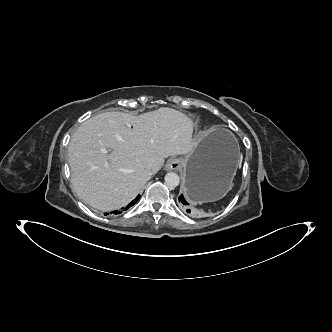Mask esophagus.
Returning a JSON list of instances; mask_svg holds the SVG:
<instances>
[{
    "instance_id": "esophagus-1",
    "label": "esophagus",
    "mask_w": 332,
    "mask_h": 332,
    "mask_svg": "<svg viewBox=\"0 0 332 332\" xmlns=\"http://www.w3.org/2000/svg\"><path fill=\"white\" fill-rule=\"evenodd\" d=\"M181 167V163L177 159H171L166 164V170H178Z\"/></svg>"
}]
</instances>
